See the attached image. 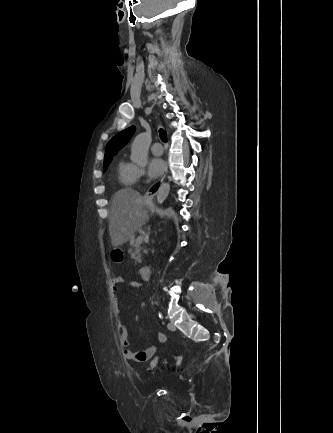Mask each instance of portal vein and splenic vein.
I'll use <instances>...</instances> for the list:
<instances>
[{
  "mask_svg": "<svg viewBox=\"0 0 333 433\" xmlns=\"http://www.w3.org/2000/svg\"><path fill=\"white\" fill-rule=\"evenodd\" d=\"M143 242V236H139L138 238H137V243H142Z\"/></svg>",
  "mask_w": 333,
  "mask_h": 433,
  "instance_id": "portal-vein-and-splenic-vein-1",
  "label": "portal vein and splenic vein"
}]
</instances>
